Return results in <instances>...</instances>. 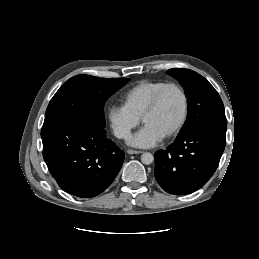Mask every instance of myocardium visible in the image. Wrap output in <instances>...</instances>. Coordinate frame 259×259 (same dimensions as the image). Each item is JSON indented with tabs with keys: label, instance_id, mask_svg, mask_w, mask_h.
<instances>
[{
	"label": "myocardium",
	"instance_id": "obj_1",
	"mask_svg": "<svg viewBox=\"0 0 259 259\" xmlns=\"http://www.w3.org/2000/svg\"><path fill=\"white\" fill-rule=\"evenodd\" d=\"M170 88L177 89L179 91V93L181 94L182 99H183V110H182V114H181L180 120L177 123V125L169 133H167L163 137V139H170V138H173L174 136H176L182 130V128L184 127V125L186 123L188 111H189V99H188V95H187L186 91L184 90V88L177 83H173V82L166 83L164 86H162L156 92L151 103L149 104V106L146 108V110L144 111V113L141 116V122L144 123L145 119L148 116H150L151 114H153L158 109L163 95Z\"/></svg>",
	"mask_w": 259,
	"mask_h": 259
}]
</instances>
